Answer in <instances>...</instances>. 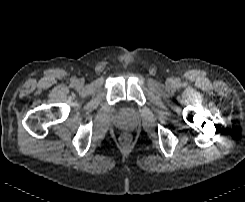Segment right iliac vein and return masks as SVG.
Returning a JSON list of instances; mask_svg holds the SVG:
<instances>
[{
	"instance_id": "right-iliac-vein-1",
	"label": "right iliac vein",
	"mask_w": 245,
	"mask_h": 202,
	"mask_svg": "<svg viewBox=\"0 0 245 202\" xmlns=\"http://www.w3.org/2000/svg\"><path fill=\"white\" fill-rule=\"evenodd\" d=\"M82 84V81L81 80H77V81H75V85H81Z\"/></svg>"
}]
</instances>
